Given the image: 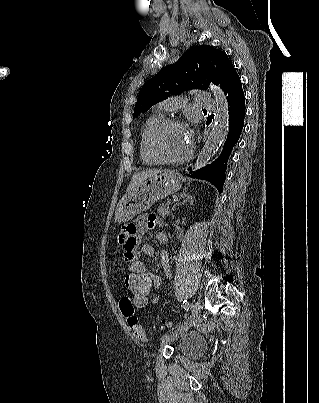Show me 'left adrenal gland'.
Returning a JSON list of instances; mask_svg holds the SVG:
<instances>
[{
	"instance_id": "a2214340",
	"label": "left adrenal gland",
	"mask_w": 319,
	"mask_h": 403,
	"mask_svg": "<svg viewBox=\"0 0 319 403\" xmlns=\"http://www.w3.org/2000/svg\"><path fill=\"white\" fill-rule=\"evenodd\" d=\"M179 197H180V198H185V199H184L182 202H180V203L174 205L173 208H172V211H174V210L176 209V207L179 206V205L185 204V203H187V202H191V203H192V202L194 201V198H193L192 196H190L189 194L183 193V194H180Z\"/></svg>"
}]
</instances>
